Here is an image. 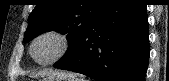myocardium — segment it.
<instances>
[{
	"label": "myocardium",
	"instance_id": "f54148a6",
	"mask_svg": "<svg viewBox=\"0 0 169 81\" xmlns=\"http://www.w3.org/2000/svg\"><path fill=\"white\" fill-rule=\"evenodd\" d=\"M48 36L54 37V38L59 40L60 49H59L57 55L53 59H51L49 61H46V62H40V61H38V60H36L34 58L33 48H34L35 43L39 39H41L43 37H48ZM70 45H71V40H70L69 36L66 33L61 32L59 30H55V29L47 30V31H44V32L40 33L39 35H37L33 39V41L31 42V45H30L29 53H30V56H31L32 60L37 65L42 66V67H47V66L53 65L54 63L58 62L68 52V50L70 48Z\"/></svg>",
	"mask_w": 169,
	"mask_h": 81
}]
</instances>
